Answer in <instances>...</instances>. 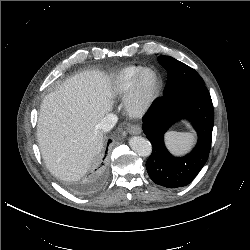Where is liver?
<instances>
[{"mask_svg":"<svg viewBox=\"0 0 250 250\" xmlns=\"http://www.w3.org/2000/svg\"><path fill=\"white\" fill-rule=\"evenodd\" d=\"M108 76L84 71L66 79L40 105L37 138L49 171L62 180H78L103 148L98 124L113 105Z\"/></svg>","mask_w":250,"mask_h":250,"instance_id":"1","label":"liver"}]
</instances>
